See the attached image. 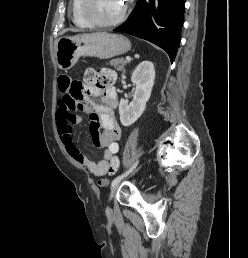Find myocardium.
Here are the masks:
<instances>
[{
	"instance_id": "myocardium-1",
	"label": "myocardium",
	"mask_w": 248,
	"mask_h": 258,
	"mask_svg": "<svg viewBox=\"0 0 248 258\" xmlns=\"http://www.w3.org/2000/svg\"><path fill=\"white\" fill-rule=\"evenodd\" d=\"M88 2H89V0H81L80 9H81L82 16L84 17V19L87 21V23L90 26L102 27V28L116 26V25L120 24L127 15L128 3H127V0H125L123 9L118 17H116L115 19L110 20V21H97L94 18H92L88 12V8H87Z\"/></svg>"
}]
</instances>
